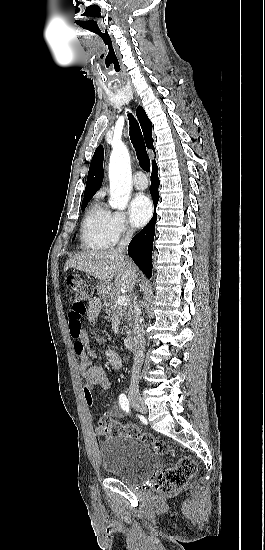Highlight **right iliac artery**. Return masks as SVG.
Segmentation results:
<instances>
[{"instance_id":"obj_1","label":"right iliac artery","mask_w":265,"mask_h":550,"mask_svg":"<svg viewBox=\"0 0 265 550\" xmlns=\"http://www.w3.org/2000/svg\"><path fill=\"white\" fill-rule=\"evenodd\" d=\"M119 404L121 405L122 409L126 412L130 411L129 401L125 394H120L119 396Z\"/></svg>"}]
</instances>
